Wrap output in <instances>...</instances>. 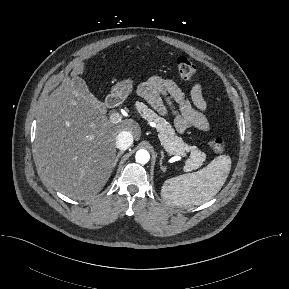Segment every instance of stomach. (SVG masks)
<instances>
[{
    "instance_id": "obj_1",
    "label": "stomach",
    "mask_w": 289,
    "mask_h": 289,
    "mask_svg": "<svg viewBox=\"0 0 289 289\" xmlns=\"http://www.w3.org/2000/svg\"><path fill=\"white\" fill-rule=\"evenodd\" d=\"M133 90V80L132 79H125L116 83L112 87V95L119 97L121 99H125Z\"/></svg>"
}]
</instances>
